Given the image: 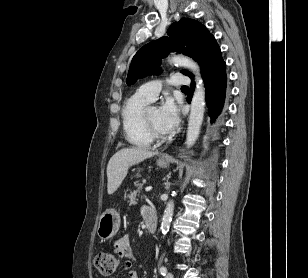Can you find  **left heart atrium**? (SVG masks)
I'll return each instance as SVG.
<instances>
[{"label": "left heart atrium", "instance_id": "39dd6f15", "mask_svg": "<svg viewBox=\"0 0 308 278\" xmlns=\"http://www.w3.org/2000/svg\"><path fill=\"white\" fill-rule=\"evenodd\" d=\"M180 114L172 99H167L158 109V124L161 132H172L179 124Z\"/></svg>", "mask_w": 308, "mask_h": 278}]
</instances>
